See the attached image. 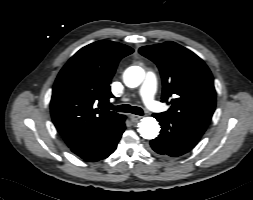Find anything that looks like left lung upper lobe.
I'll return each instance as SVG.
<instances>
[{"label":"left lung upper lobe","instance_id":"obj_1","mask_svg":"<svg viewBox=\"0 0 253 200\" xmlns=\"http://www.w3.org/2000/svg\"><path fill=\"white\" fill-rule=\"evenodd\" d=\"M139 53L157 64L162 77L164 112L207 127L216 105L213 77L206 64L192 51L167 41L143 46Z\"/></svg>","mask_w":253,"mask_h":200}]
</instances>
